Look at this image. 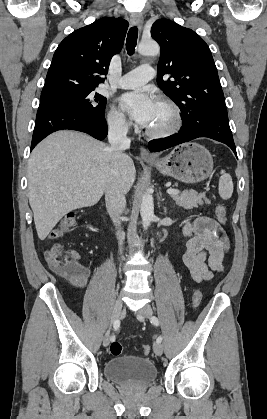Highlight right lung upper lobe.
<instances>
[{"instance_id": "right-lung-upper-lobe-1", "label": "right lung upper lobe", "mask_w": 267, "mask_h": 419, "mask_svg": "<svg viewBox=\"0 0 267 419\" xmlns=\"http://www.w3.org/2000/svg\"><path fill=\"white\" fill-rule=\"evenodd\" d=\"M128 22L104 17L68 35L56 49L42 93L67 87L96 88L122 49Z\"/></svg>"}]
</instances>
